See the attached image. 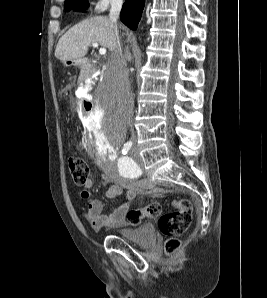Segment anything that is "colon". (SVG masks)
Returning a JSON list of instances; mask_svg holds the SVG:
<instances>
[{"label": "colon", "instance_id": "1", "mask_svg": "<svg viewBox=\"0 0 267 298\" xmlns=\"http://www.w3.org/2000/svg\"><path fill=\"white\" fill-rule=\"evenodd\" d=\"M68 167L76 185L84 186L89 181L87 163L75 156L68 158ZM158 219L160 232L166 236L165 252L173 254L181 247L179 237L189 228L192 221V206L187 199H176L171 203V209L163 212L159 202H151L143 208L131 209L126 214L127 223L131 226L141 224L144 219Z\"/></svg>", "mask_w": 267, "mask_h": 298}]
</instances>
